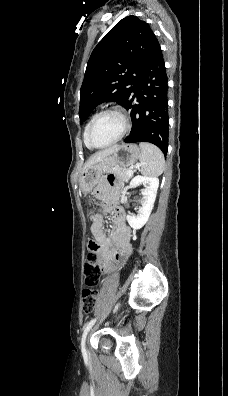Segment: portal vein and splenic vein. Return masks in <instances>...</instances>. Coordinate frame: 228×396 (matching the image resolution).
Masks as SVG:
<instances>
[{"label": "portal vein and splenic vein", "instance_id": "obj_1", "mask_svg": "<svg viewBox=\"0 0 228 396\" xmlns=\"http://www.w3.org/2000/svg\"><path fill=\"white\" fill-rule=\"evenodd\" d=\"M132 173H133V171H132V170H129L128 174H132Z\"/></svg>", "mask_w": 228, "mask_h": 396}]
</instances>
